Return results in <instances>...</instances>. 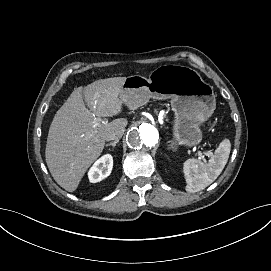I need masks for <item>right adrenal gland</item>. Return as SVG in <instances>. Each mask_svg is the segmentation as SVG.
<instances>
[{
    "label": "right adrenal gland",
    "mask_w": 271,
    "mask_h": 271,
    "mask_svg": "<svg viewBox=\"0 0 271 271\" xmlns=\"http://www.w3.org/2000/svg\"><path fill=\"white\" fill-rule=\"evenodd\" d=\"M117 142H118V141L110 142V143L106 144L105 147L112 146V147L114 148V147H115V144H116Z\"/></svg>",
    "instance_id": "1"
}]
</instances>
